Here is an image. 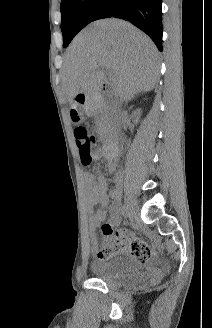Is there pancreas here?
<instances>
[{
  "instance_id": "pancreas-1",
  "label": "pancreas",
  "mask_w": 212,
  "mask_h": 328,
  "mask_svg": "<svg viewBox=\"0 0 212 328\" xmlns=\"http://www.w3.org/2000/svg\"><path fill=\"white\" fill-rule=\"evenodd\" d=\"M95 125L100 135L106 134L111 127V118L108 110L103 106L97 111Z\"/></svg>"
}]
</instances>
